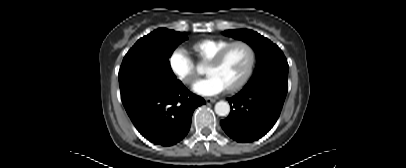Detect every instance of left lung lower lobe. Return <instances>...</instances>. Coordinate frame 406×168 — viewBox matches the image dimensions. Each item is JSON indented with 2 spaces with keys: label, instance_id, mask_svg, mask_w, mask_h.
Segmentation results:
<instances>
[{
  "label": "left lung lower lobe",
  "instance_id": "1",
  "mask_svg": "<svg viewBox=\"0 0 406 168\" xmlns=\"http://www.w3.org/2000/svg\"><path fill=\"white\" fill-rule=\"evenodd\" d=\"M288 83L260 81L247 83L229 98L231 112L220 122L226 134L237 142L258 140L274 126L286 94Z\"/></svg>",
  "mask_w": 406,
  "mask_h": 168
}]
</instances>
